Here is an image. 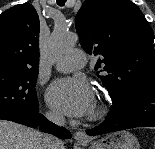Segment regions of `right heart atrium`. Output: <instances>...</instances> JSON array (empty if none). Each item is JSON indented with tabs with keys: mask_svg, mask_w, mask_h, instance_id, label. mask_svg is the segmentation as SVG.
Returning <instances> with one entry per match:
<instances>
[{
	"mask_svg": "<svg viewBox=\"0 0 155 149\" xmlns=\"http://www.w3.org/2000/svg\"><path fill=\"white\" fill-rule=\"evenodd\" d=\"M46 117L55 123H61L63 122V117L60 113L56 112V111H48L46 113Z\"/></svg>",
	"mask_w": 155,
	"mask_h": 149,
	"instance_id": "d8ad5b80",
	"label": "right heart atrium"
}]
</instances>
